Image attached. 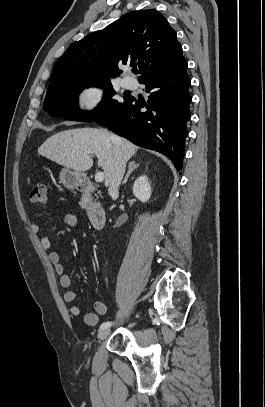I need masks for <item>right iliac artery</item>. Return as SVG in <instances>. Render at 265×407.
Segmentation results:
<instances>
[{"label":"right iliac artery","mask_w":265,"mask_h":407,"mask_svg":"<svg viewBox=\"0 0 265 407\" xmlns=\"http://www.w3.org/2000/svg\"><path fill=\"white\" fill-rule=\"evenodd\" d=\"M111 325H112V322H109V321L104 322V323L101 324L100 329H107V328H109Z\"/></svg>","instance_id":"obj_1"}]
</instances>
